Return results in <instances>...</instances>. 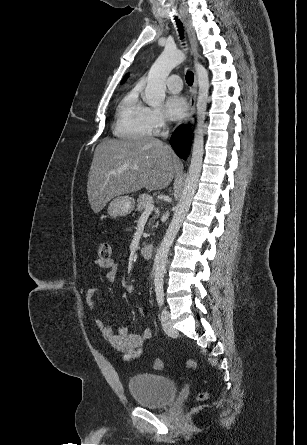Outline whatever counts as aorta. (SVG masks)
I'll return each mask as SVG.
<instances>
[{"mask_svg": "<svg viewBox=\"0 0 307 445\" xmlns=\"http://www.w3.org/2000/svg\"><path fill=\"white\" fill-rule=\"evenodd\" d=\"M186 60L185 52L167 46L152 64L148 76L147 86L145 88V102L149 106H160L165 100L166 78L169 76L172 68L181 64ZM195 70L198 80V96H197V126L195 130L192 158L189 166V172L185 180L183 194L175 208L173 218L166 231V235L156 253L155 257V273H154V289L162 291L164 285V273L166 271V261L169 249L183 223V220L190 208L191 200L198 186L199 176L202 168L203 152H204V120L207 108V98L209 94V78L208 70L196 62Z\"/></svg>", "mask_w": 307, "mask_h": 445, "instance_id": "obj_1", "label": "aorta"}]
</instances>
